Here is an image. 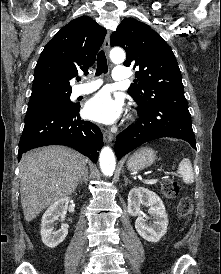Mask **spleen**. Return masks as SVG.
<instances>
[{"mask_svg":"<svg viewBox=\"0 0 221 274\" xmlns=\"http://www.w3.org/2000/svg\"><path fill=\"white\" fill-rule=\"evenodd\" d=\"M177 172L182 177L184 183L192 184L194 182V173L192 169V164L188 158H184L180 162Z\"/></svg>","mask_w":221,"mask_h":274,"instance_id":"obj_1","label":"spleen"}]
</instances>
